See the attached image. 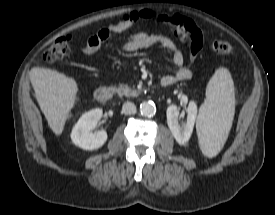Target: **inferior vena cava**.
<instances>
[{"label":"inferior vena cava","mask_w":275,"mask_h":215,"mask_svg":"<svg viewBox=\"0 0 275 215\" xmlns=\"http://www.w3.org/2000/svg\"><path fill=\"white\" fill-rule=\"evenodd\" d=\"M122 112L127 115L136 113V106L132 102H125L122 106Z\"/></svg>","instance_id":"inferior-vena-cava-1"}]
</instances>
